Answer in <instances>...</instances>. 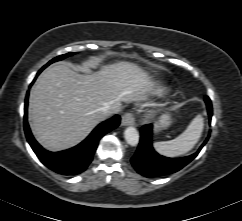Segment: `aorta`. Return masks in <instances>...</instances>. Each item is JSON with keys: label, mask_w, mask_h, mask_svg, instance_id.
Returning a JSON list of instances; mask_svg holds the SVG:
<instances>
[{"label": "aorta", "mask_w": 242, "mask_h": 221, "mask_svg": "<svg viewBox=\"0 0 242 221\" xmlns=\"http://www.w3.org/2000/svg\"><path fill=\"white\" fill-rule=\"evenodd\" d=\"M124 138L131 146H136L139 142V132L134 127H128L124 131Z\"/></svg>", "instance_id": "762f6f07"}]
</instances>
